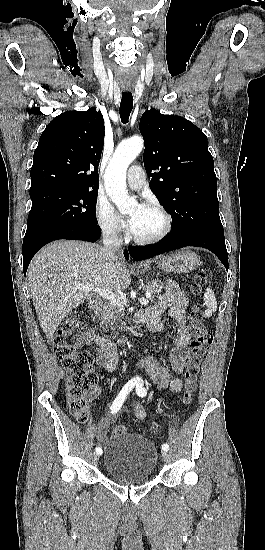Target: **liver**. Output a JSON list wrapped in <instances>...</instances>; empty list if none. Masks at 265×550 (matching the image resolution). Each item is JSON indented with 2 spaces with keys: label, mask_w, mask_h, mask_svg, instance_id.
Segmentation results:
<instances>
[{
  "label": "liver",
  "mask_w": 265,
  "mask_h": 550,
  "mask_svg": "<svg viewBox=\"0 0 265 550\" xmlns=\"http://www.w3.org/2000/svg\"><path fill=\"white\" fill-rule=\"evenodd\" d=\"M27 278L40 326L48 339L53 338L70 311L98 294L83 292L76 289L77 285L113 292L126 289L131 282L121 256L110 261L98 244L69 240L55 241L41 249L29 265Z\"/></svg>",
  "instance_id": "liver-1"
}]
</instances>
